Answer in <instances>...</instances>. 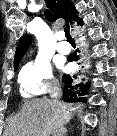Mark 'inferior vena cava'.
Masks as SVG:
<instances>
[{"mask_svg": "<svg viewBox=\"0 0 117 136\" xmlns=\"http://www.w3.org/2000/svg\"><path fill=\"white\" fill-rule=\"evenodd\" d=\"M60 96H61V90L57 89L52 95V100L56 101V100H58V98H60ZM49 133H50L49 136H56V134L53 135L54 132L52 130Z\"/></svg>", "mask_w": 117, "mask_h": 136, "instance_id": "inferior-vena-cava-1", "label": "inferior vena cava"}]
</instances>
